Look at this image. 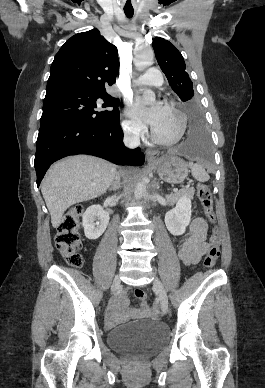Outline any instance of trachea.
Here are the masks:
<instances>
[{"label":"trachea","mask_w":265,"mask_h":388,"mask_svg":"<svg viewBox=\"0 0 265 388\" xmlns=\"http://www.w3.org/2000/svg\"><path fill=\"white\" fill-rule=\"evenodd\" d=\"M124 13L128 18H131L133 16L134 10H124Z\"/></svg>","instance_id":"1"}]
</instances>
